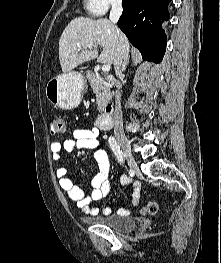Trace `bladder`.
<instances>
[{"label": "bladder", "instance_id": "obj_1", "mask_svg": "<svg viewBox=\"0 0 221 263\" xmlns=\"http://www.w3.org/2000/svg\"><path fill=\"white\" fill-rule=\"evenodd\" d=\"M86 221L93 225L103 226L119 232L132 231L137 227V222L134 218L121 215L88 217Z\"/></svg>", "mask_w": 221, "mask_h": 263}]
</instances>
